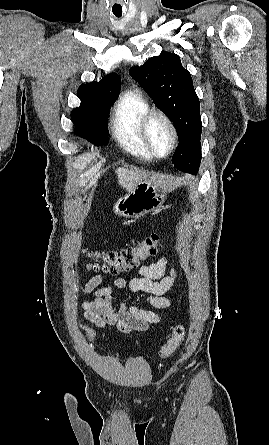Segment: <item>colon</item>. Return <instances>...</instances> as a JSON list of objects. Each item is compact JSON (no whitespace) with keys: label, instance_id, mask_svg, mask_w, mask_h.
Masks as SVG:
<instances>
[{"label":"colon","instance_id":"obj_1","mask_svg":"<svg viewBox=\"0 0 269 445\" xmlns=\"http://www.w3.org/2000/svg\"><path fill=\"white\" fill-rule=\"evenodd\" d=\"M161 245L162 235L153 233L136 246L111 251L85 250L84 254L92 260L88 263L89 267L117 274L137 268L141 261L156 255ZM185 334V326L182 324L176 325L169 339L161 347L160 357L167 358L171 356L182 343Z\"/></svg>","mask_w":269,"mask_h":445}]
</instances>
